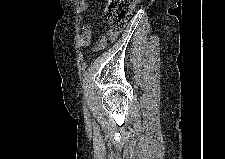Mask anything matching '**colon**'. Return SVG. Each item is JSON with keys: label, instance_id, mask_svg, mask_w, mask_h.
<instances>
[{"label": "colon", "instance_id": "colon-1", "mask_svg": "<svg viewBox=\"0 0 225 159\" xmlns=\"http://www.w3.org/2000/svg\"><path fill=\"white\" fill-rule=\"evenodd\" d=\"M137 0H109L104 17L112 34H119L131 14Z\"/></svg>", "mask_w": 225, "mask_h": 159}]
</instances>
